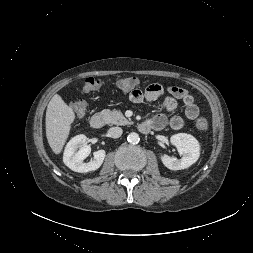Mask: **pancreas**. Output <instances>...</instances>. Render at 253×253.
Here are the masks:
<instances>
[{
  "mask_svg": "<svg viewBox=\"0 0 253 253\" xmlns=\"http://www.w3.org/2000/svg\"><path fill=\"white\" fill-rule=\"evenodd\" d=\"M103 115L105 122L107 124H114V125H127L131 124L129 120H127L124 115L122 114L121 111L119 110H114L110 111L108 109H105L101 112Z\"/></svg>",
  "mask_w": 253,
  "mask_h": 253,
  "instance_id": "1",
  "label": "pancreas"
}]
</instances>
